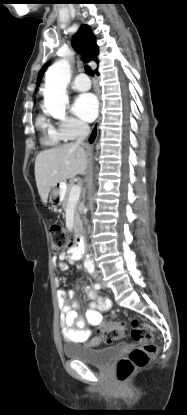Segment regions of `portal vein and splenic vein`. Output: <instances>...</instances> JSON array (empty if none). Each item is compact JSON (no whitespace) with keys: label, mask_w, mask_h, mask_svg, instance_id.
I'll return each instance as SVG.
<instances>
[{"label":"portal vein and splenic vein","mask_w":187,"mask_h":415,"mask_svg":"<svg viewBox=\"0 0 187 415\" xmlns=\"http://www.w3.org/2000/svg\"><path fill=\"white\" fill-rule=\"evenodd\" d=\"M81 188L79 185H74L70 192L69 203H76L79 200Z\"/></svg>","instance_id":"1"}]
</instances>
